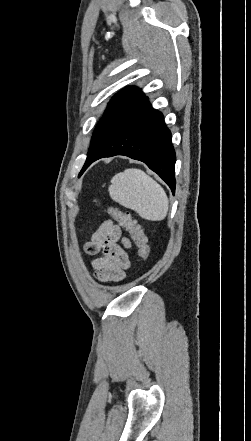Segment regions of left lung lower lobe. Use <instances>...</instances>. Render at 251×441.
Returning a JSON list of instances; mask_svg holds the SVG:
<instances>
[{"label": "left lung lower lobe", "mask_w": 251, "mask_h": 441, "mask_svg": "<svg viewBox=\"0 0 251 441\" xmlns=\"http://www.w3.org/2000/svg\"><path fill=\"white\" fill-rule=\"evenodd\" d=\"M124 155L144 162L175 191L176 155L171 133L163 115L152 108L147 97L139 99L122 116L101 118L91 140L81 174L94 161Z\"/></svg>", "instance_id": "left-lung-lower-lobe-1"}]
</instances>
